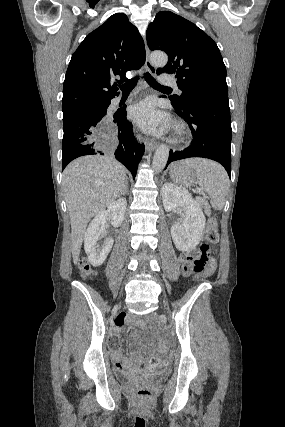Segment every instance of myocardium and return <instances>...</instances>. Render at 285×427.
Here are the masks:
<instances>
[{
    "label": "myocardium",
    "mask_w": 285,
    "mask_h": 427,
    "mask_svg": "<svg viewBox=\"0 0 285 427\" xmlns=\"http://www.w3.org/2000/svg\"><path fill=\"white\" fill-rule=\"evenodd\" d=\"M186 134V127L182 122H176L171 141L174 143L181 142Z\"/></svg>",
    "instance_id": "obj_1"
}]
</instances>
